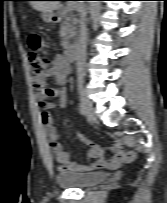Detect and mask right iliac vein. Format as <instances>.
<instances>
[{
	"label": "right iliac vein",
	"instance_id": "1",
	"mask_svg": "<svg viewBox=\"0 0 167 203\" xmlns=\"http://www.w3.org/2000/svg\"><path fill=\"white\" fill-rule=\"evenodd\" d=\"M79 97L82 102V104L85 107L86 114L88 115L89 119L91 121H95V116L93 113V107L91 100L87 97L86 91L83 87L79 88Z\"/></svg>",
	"mask_w": 167,
	"mask_h": 203
}]
</instances>
